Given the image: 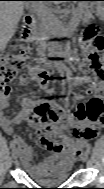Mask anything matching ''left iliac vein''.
<instances>
[{
  "label": "left iliac vein",
  "instance_id": "1",
  "mask_svg": "<svg viewBox=\"0 0 104 189\" xmlns=\"http://www.w3.org/2000/svg\"><path fill=\"white\" fill-rule=\"evenodd\" d=\"M81 160H82L83 162H86V161L88 160V152H87V151L83 153V155H82V157H81Z\"/></svg>",
  "mask_w": 104,
  "mask_h": 189
}]
</instances>
